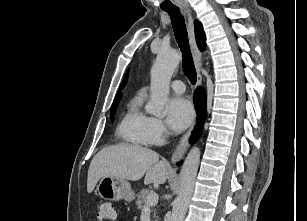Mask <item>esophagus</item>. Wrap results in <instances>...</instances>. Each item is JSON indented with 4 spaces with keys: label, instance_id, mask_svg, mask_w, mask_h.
I'll return each instance as SVG.
<instances>
[{
    "label": "esophagus",
    "instance_id": "esophagus-1",
    "mask_svg": "<svg viewBox=\"0 0 307 221\" xmlns=\"http://www.w3.org/2000/svg\"><path fill=\"white\" fill-rule=\"evenodd\" d=\"M183 10H184V12L186 13V16H187L189 42H190V46H191V50H192V54H193V59H194V64H195V68H196V72H197V85L200 86L201 82H202V75H201V72H200L201 52L199 51L197 44H196V40H195L193 17H192L191 11L188 8V6H184ZM195 124H196V122L194 121L191 128L188 130V132L185 133L184 136L181 138L178 146L176 147L175 151L172 154V157H171L172 162L179 161L183 157L187 147L189 146V138H190V135H191V133L194 129Z\"/></svg>",
    "mask_w": 307,
    "mask_h": 221
}]
</instances>
